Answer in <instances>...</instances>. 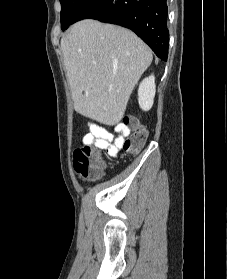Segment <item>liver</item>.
I'll list each match as a JSON object with an SVG mask.
<instances>
[{
	"instance_id": "1",
	"label": "liver",
	"mask_w": 227,
	"mask_h": 279,
	"mask_svg": "<svg viewBox=\"0 0 227 279\" xmlns=\"http://www.w3.org/2000/svg\"><path fill=\"white\" fill-rule=\"evenodd\" d=\"M61 50L75 110L105 125L118 124L152 62L150 48L128 29L85 19L62 37Z\"/></svg>"
}]
</instances>
